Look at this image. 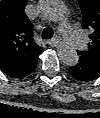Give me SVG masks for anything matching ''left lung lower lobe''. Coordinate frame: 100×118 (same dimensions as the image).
<instances>
[{
    "mask_svg": "<svg viewBox=\"0 0 100 118\" xmlns=\"http://www.w3.org/2000/svg\"><path fill=\"white\" fill-rule=\"evenodd\" d=\"M69 73L77 80L92 81L100 77V68L79 58L78 63L69 68Z\"/></svg>",
    "mask_w": 100,
    "mask_h": 118,
    "instance_id": "0a47b994",
    "label": "left lung lower lobe"
}]
</instances>
